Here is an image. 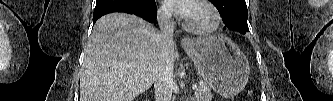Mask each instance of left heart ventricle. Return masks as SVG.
<instances>
[{"mask_svg":"<svg viewBox=\"0 0 333 101\" xmlns=\"http://www.w3.org/2000/svg\"><path fill=\"white\" fill-rule=\"evenodd\" d=\"M186 20L196 28H207L213 23V16L209 9L203 5L192 3Z\"/></svg>","mask_w":333,"mask_h":101,"instance_id":"b2bd125f","label":"left heart ventricle"}]
</instances>
